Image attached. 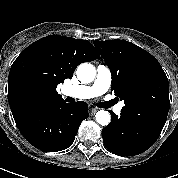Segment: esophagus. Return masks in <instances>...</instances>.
Wrapping results in <instances>:
<instances>
[{
  "label": "esophagus",
  "mask_w": 178,
  "mask_h": 178,
  "mask_svg": "<svg viewBox=\"0 0 178 178\" xmlns=\"http://www.w3.org/2000/svg\"><path fill=\"white\" fill-rule=\"evenodd\" d=\"M98 111V108H91L90 115H94Z\"/></svg>",
  "instance_id": "obj_1"
}]
</instances>
